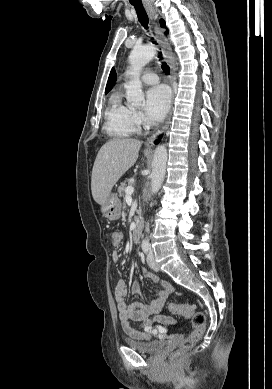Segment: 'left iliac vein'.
<instances>
[{"label": "left iliac vein", "instance_id": "1", "mask_svg": "<svg viewBox=\"0 0 272 389\" xmlns=\"http://www.w3.org/2000/svg\"><path fill=\"white\" fill-rule=\"evenodd\" d=\"M147 263H148V265L150 266L151 269H153L154 271H159V266H158V264L155 261V256H154V253H153L152 250H150L148 252Z\"/></svg>", "mask_w": 272, "mask_h": 389}]
</instances>
